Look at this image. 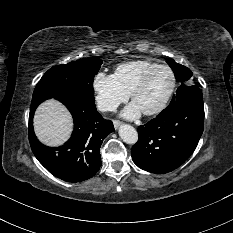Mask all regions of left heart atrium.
I'll list each match as a JSON object with an SVG mask.
<instances>
[{
  "instance_id": "1",
  "label": "left heart atrium",
  "mask_w": 233,
  "mask_h": 233,
  "mask_svg": "<svg viewBox=\"0 0 233 233\" xmlns=\"http://www.w3.org/2000/svg\"><path fill=\"white\" fill-rule=\"evenodd\" d=\"M141 113L142 111L139 109V107L134 102H132L122 111V116L127 119H134L139 117Z\"/></svg>"
}]
</instances>
